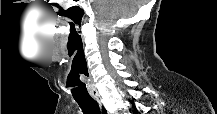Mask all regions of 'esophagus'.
<instances>
[{
	"label": "esophagus",
	"instance_id": "esophagus-1",
	"mask_svg": "<svg viewBox=\"0 0 217 114\" xmlns=\"http://www.w3.org/2000/svg\"><path fill=\"white\" fill-rule=\"evenodd\" d=\"M94 99L97 101V103L100 107L101 114H105V112L107 111V109L105 107V100L98 94L94 95Z\"/></svg>",
	"mask_w": 217,
	"mask_h": 114
}]
</instances>
